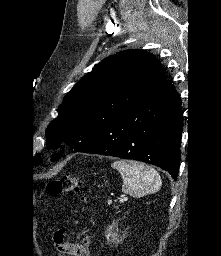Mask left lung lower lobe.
Wrapping results in <instances>:
<instances>
[{"label": "left lung lower lobe", "mask_w": 221, "mask_h": 256, "mask_svg": "<svg viewBox=\"0 0 221 256\" xmlns=\"http://www.w3.org/2000/svg\"><path fill=\"white\" fill-rule=\"evenodd\" d=\"M182 117L178 93L167 81L75 151L140 160L168 171L176 180Z\"/></svg>", "instance_id": "left-lung-lower-lobe-1"}]
</instances>
